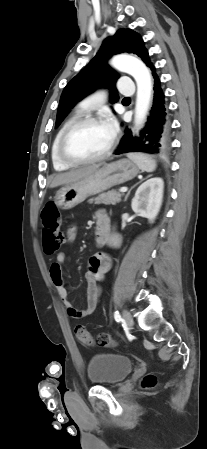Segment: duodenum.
Listing matches in <instances>:
<instances>
[{"instance_id": "1", "label": "duodenum", "mask_w": 207, "mask_h": 449, "mask_svg": "<svg viewBox=\"0 0 207 449\" xmlns=\"http://www.w3.org/2000/svg\"><path fill=\"white\" fill-rule=\"evenodd\" d=\"M105 233H106V229L104 228V226L100 222H97V225H96V237H97L98 244L104 245Z\"/></svg>"}]
</instances>
